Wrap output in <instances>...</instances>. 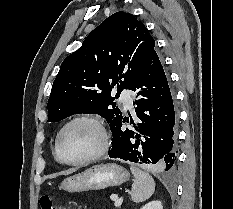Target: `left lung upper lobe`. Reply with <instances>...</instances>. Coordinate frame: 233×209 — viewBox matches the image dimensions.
I'll use <instances>...</instances> for the list:
<instances>
[{
  "mask_svg": "<svg viewBox=\"0 0 233 209\" xmlns=\"http://www.w3.org/2000/svg\"><path fill=\"white\" fill-rule=\"evenodd\" d=\"M154 47L148 29L132 14L119 11L106 18L62 62L48 100V122L93 110L109 126L121 119L114 100L129 88ZM114 87L117 93L111 97Z\"/></svg>",
  "mask_w": 233,
  "mask_h": 209,
  "instance_id": "5c2ea615",
  "label": "left lung upper lobe"
}]
</instances>
